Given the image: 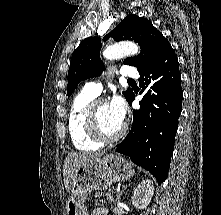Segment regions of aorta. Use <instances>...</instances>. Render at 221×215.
<instances>
[{
    "label": "aorta",
    "mask_w": 221,
    "mask_h": 215,
    "mask_svg": "<svg viewBox=\"0 0 221 215\" xmlns=\"http://www.w3.org/2000/svg\"><path fill=\"white\" fill-rule=\"evenodd\" d=\"M139 47L132 42H120L107 47L103 51V56L107 60H117L127 55H136Z\"/></svg>",
    "instance_id": "aorta-1"
}]
</instances>
